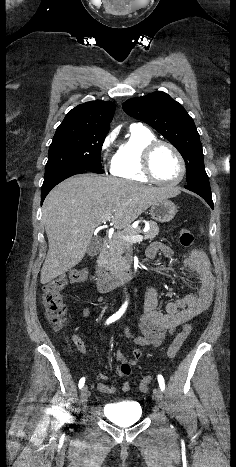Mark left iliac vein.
Here are the masks:
<instances>
[{"mask_svg": "<svg viewBox=\"0 0 236 467\" xmlns=\"http://www.w3.org/2000/svg\"><path fill=\"white\" fill-rule=\"evenodd\" d=\"M154 399L157 403V405L161 408V410H164L165 408V400L162 391L158 388L154 391Z\"/></svg>", "mask_w": 236, "mask_h": 467, "instance_id": "1", "label": "left iliac vein"}]
</instances>
